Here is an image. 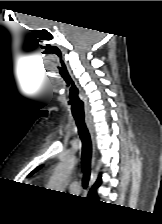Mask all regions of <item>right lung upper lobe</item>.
<instances>
[{"label": "right lung upper lobe", "instance_id": "1", "mask_svg": "<svg viewBox=\"0 0 162 224\" xmlns=\"http://www.w3.org/2000/svg\"><path fill=\"white\" fill-rule=\"evenodd\" d=\"M39 169H40V166L37 167L34 171H32L30 173V175L33 174L34 172H36ZM100 183H101V178L99 177L98 180L96 181V183L93 185V187H92V189L89 193L90 196H94L96 194V189L99 187Z\"/></svg>", "mask_w": 162, "mask_h": 224}]
</instances>
